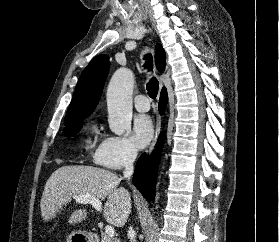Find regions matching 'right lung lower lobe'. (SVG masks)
<instances>
[{"label": "right lung lower lobe", "instance_id": "1", "mask_svg": "<svg viewBox=\"0 0 279 242\" xmlns=\"http://www.w3.org/2000/svg\"><path fill=\"white\" fill-rule=\"evenodd\" d=\"M168 100L167 91L161 92L159 101L160 113H164ZM164 142V133L159 136V148L157 152L151 155L142 154L137 161L135 172L133 175V184L148 200L154 202L156 192L157 169L160 161L162 146Z\"/></svg>", "mask_w": 279, "mask_h": 242}]
</instances>
